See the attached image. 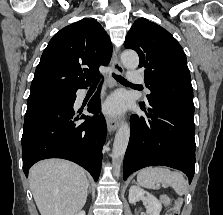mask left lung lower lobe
Segmentation results:
<instances>
[{"instance_id": "1", "label": "left lung lower lobe", "mask_w": 223, "mask_h": 215, "mask_svg": "<svg viewBox=\"0 0 223 215\" xmlns=\"http://www.w3.org/2000/svg\"><path fill=\"white\" fill-rule=\"evenodd\" d=\"M140 107L149 118L131 116L124 180L141 168L163 165L184 172L191 183L195 172L194 109L163 101L140 103Z\"/></svg>"}]
</instances>
